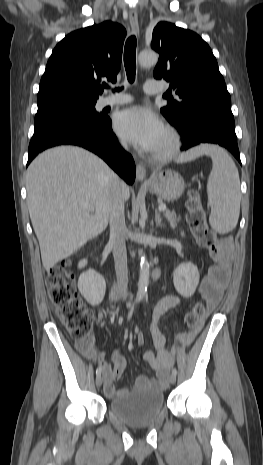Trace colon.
Listing matches in <instances>:
<instances>
[{"label":"colon","instance_id":"1","mask_svg":"<svg viewBox=\"0 0 263 465\" xmlns=\"http://www.w3.org/2000/svg\"><path fill=\"white\" fill-rule=\"evenodd\" d=\"M187 221L199 246L208 249L212 256L219 253L216 235L207 225L205 212L198 195L191 193L187 201ZM50 301L55 313L76 342L77 348L86 355L93 352V314L79 297L74 274L63 262L52 268L47 276ZM205 315L204 304L199 302L185 315L184 323L190 330L198 329Z\"/></svg>","mask_w":263,"mask_h":465}]
</instances>
